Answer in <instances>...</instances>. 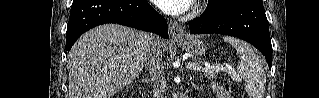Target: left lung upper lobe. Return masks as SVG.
I'll return each instance as SVG.
<instances>
[{"mask_svg":"<svg viewBox=\"0 0 319 98\" xmlns=\"http://www.w3.org/2000/svg\"><path fill=\"white\" fill-rule=\"evenodd\" d=\"M233 0H208V12L210 14H216L219 12V8L217 6H223Z\"/></svg>","mask_w":319,"mask_h":98,"instance_id":"left-lung-upper-lobe-1","label":"left lung upper lobe"}]
</instances>
